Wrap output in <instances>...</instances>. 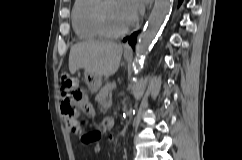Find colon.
Here are the masks:
<instances>
[{
	"mask_svg": "<svg viewBox=\"0 0 242 160\" xmlns=\"http://www.w3.org/2000/svg\"><path fill=\"white\" fill-rule=\"evenodd\" d=\"M61 96L67 102L62 107V113L67 118H76L80 109L85 103V91L79 87L75 80L68 74L62 73L60 76ZM94 133L84 137V141L89 143Z\"/></svg>",
	"mask_w": 242,
	"mask_h": 160,
	"instance_id": "obj_1",
	"label": "colon"
}]
</instances>
